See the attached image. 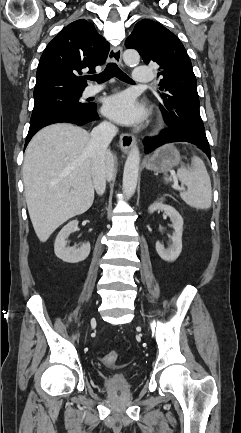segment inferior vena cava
Instances as JSON below:
<instances>
[{"label":"inferior vena cava","instance_id":"inferior-vena-cava-1","mask_svg":"<svg viewBox=\"0 0 241 433\" xmlns=\"http://www.w3.org/2000/svg\"><path fill=\"white\" fill-rule=\"evenodd\" d=\"M118 129L109 122H102L91 132L87 150L91 156V172L94 188L97 194L102 195L106 188L107 147L116 135Z\"/></svg>","mask_w":241,"mask_h":433}]
</instances>
